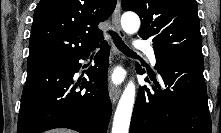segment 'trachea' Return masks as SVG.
Instances as JSON below:
<instances>
[{"label":"trachea","instance_id":"obj_1","mask_svg":"<svg viewBox=\"0 0 221 133\" xmlns=\"http://www.w3.org/2000/svg\"><path fill=\"white\" fill-rule=\"evenodd\" d=\"M110 34L112 35L115 45L120 51H122L123 53L127 55H136V53H134L131 49H129L125 45V43L122 41V39L119 37L117 33L110 31Z\"/></svg>","mask_w":221,"mask_h":133}]
</instances>
